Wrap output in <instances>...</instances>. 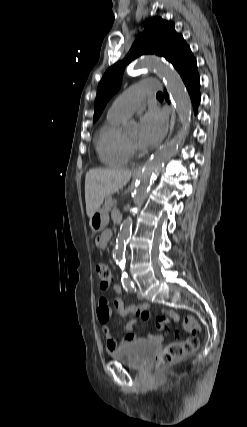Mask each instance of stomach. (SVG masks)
<instances>
[{
	"instance_id": "obj_1",
	"label": "stomach",
	"mask_w": 247,
	"mask_h": 427,
	"mask_svg": "<svg viewBox=\"0 0 247 427\" xmlns=\"http://www.w3.org/2000/svg\"><path fill=\"white\" fill-rule=\"evenodd\" d=\"M109 221V216L107 211L104 209L97 210L91 217L89 225L93 232H101L106 227Z\"/></svg>"
}]
</instances>
